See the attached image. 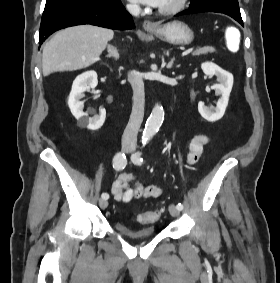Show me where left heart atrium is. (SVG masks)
Wrapping results in <instances>:
<instances>
[{
  "label": "left heart atrium",
  "mask_w": 280,
  "mask_h": 283,
  "mask_svg": "<svg viewBox=\"0 0 280 283\" xmlns=\"http://www.w3.org/2000/svg\"><path fill=\"white\" fill-rule=\"evenodd\" d=\"M133 2L147 4L153 7H160L164 0H131Z\"/></svg>",
  "instance_id": "left-heart-atrium-1"
}]
</instances>
